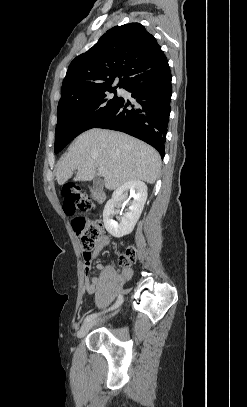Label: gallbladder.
Here are the masks:
<instances>
[{
  "label": "gallbladder",
  "instance_id": "bac80fb5",
  "mask_svg": "<svg viewBox=\"0 0 247 407\" xmlns=\"http://www.w3.org/2000/svg\"><path fill=\"white\" fill-rule=\"evenodd\" d=\"M93 187L95 190H101L102 189V183L99 179H95L93 182Z\"/></svg>",
  "mask_w": 247,
  "mask_h": 407
}]
</instances>
